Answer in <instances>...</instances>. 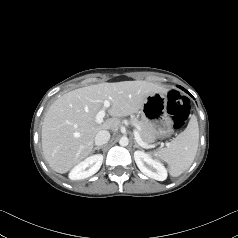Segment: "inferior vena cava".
<instances>
[{"label":"inferior vena cava","mask_w":238,"mask_h":238,"mask_svg":"<svg viewBox=\"0 0 238 238\" xmlns=\"http://www.w3.org/2000/svg\"><path fill=\"white\" fill-rule=\"evenodd\" d=\"M109 139L110 133L107 130H101L95 136V145H104L109 141Z\"/></svg>","instance_id":"inferior-vena-cava-1"}]
</instances>
